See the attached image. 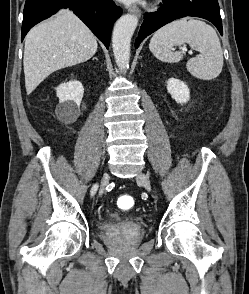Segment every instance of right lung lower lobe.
I'll return each mask as SVG.
<instances>
[{
	"label": "right lung lower lobe",
	"instance_id": "right-lung-lower-lobe-1",
	"mask_svg": "<svg viewBox=\"0 0 249 294\" xmlns=\"http://www.w3.org/2000/svg\"><path fill=\"white\" fill-rule=\"evenodd\" d=\"M70 8L109 48L111 30L122 10L112 0H26L22 40L27 32L40 21L55 14L60 8Z\"/></svg>",
	"mask_w": 249,
	"mask_h": 294
}]
</instances>
